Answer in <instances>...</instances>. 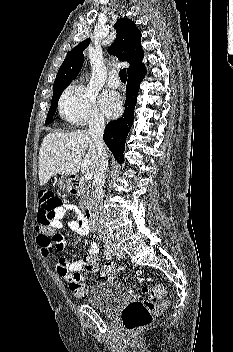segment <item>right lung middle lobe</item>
Masks as SVG:
<instances>
[{
	"instance_id": "dd1d6c3e",
	"label": "right lung middle lobe",
	"mask_w": 233,
	"mask_h": 352,
	"mask_svg": "<svg viewBox=\"0 0 233 352\" xmlns=\"http://www.w3.org/2000/svg\"><path fill=\"white\" fill-rule=\"evenodd\" d=\"M65 88H66V86L54 88L53 97H52V100H51V107H50V109L48 111V115H47L45 124L51 123V121L53 119V116L55 114V111L57 109V106H58V100H59V98L61 96V93L63 92V90Z\"/></svg>"
}]
</instances>
